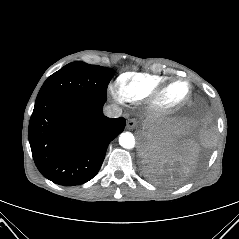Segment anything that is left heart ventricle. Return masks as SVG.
I'll use <instances>...</instances> for the list:
<instances>
[{
	"label": "left heart ventricle",
	"instance_id": "obj_1",
	"mask_svg": "<svg viewBox=\"0 0 239 239\" xmlns=\"http://www.w3.org/2000/svg\"><path fill=\"white\" fill-rule=\"evenodd\" d=\"M186 94V86L184 84L174 85L169 89L165 96L167 104H175L180 101Z\"/></svg>",
	"mask_w": 239,
	"mask_h": 239
}]
</instances>
